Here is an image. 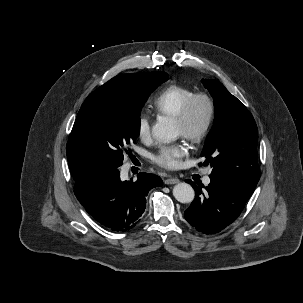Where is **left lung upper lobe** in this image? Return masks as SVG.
Instances as JSON below:
<instances>
[{"instance_id": "1", "label": "left lung upper lobe", "mask_w": 303, "mask_h": 303, "mask_svg": "<svg viewBox=\"0 0 303 303\" xmlns=\"http://www.w3.org/2000/svg\"><path fill=\"white\" fill-rule=\"evenodd\" d=\"M214 98V126L201 156L211 174L225 177L253 193L260 177L257 162L258 130L248 109L217 80L203 79ZM200 165V164H199Z\"/></svg>"}]
</instances>
